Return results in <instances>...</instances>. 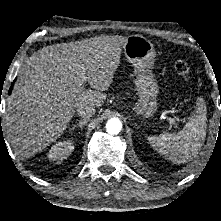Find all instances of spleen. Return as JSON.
<instances>
[{
    "instance_id": "spleen-1",
    "label": "spleen",
    "mask_w": 221,
    "mask_h": 221,
    "mask_svg": "<svg viewBox=\"0 0 221 221\" xmlns=\"http://www.w3.org/2000/svg\"><path fill=\"white\" fill-rule=\"evenodd\" d=\"M201 101V99H200ZM206 107L201 102L196 111L177 134L149 136L151 147L174 163H186L196 157L206 137Z\"/></svg>"
}]
</instances>
